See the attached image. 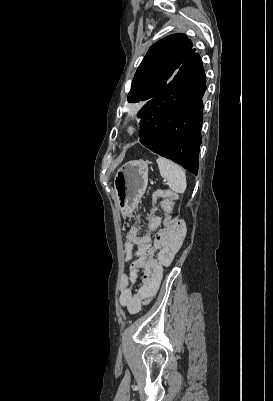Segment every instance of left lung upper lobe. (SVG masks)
I'll use <instances>...</instances> for the list:
<instances>
[{"label": "left lung upper lobe", "instance_id": "left-lung-upper-lobe-1", "mask_svg": "<svg viewBox=\"0 0 273 401\" xmlns=\"http://www.w3.org/2000/svg\"><path fill=\"white\" fill-rule=\"evenodd\" d=\"M192 50L185 34H173L153 44L139 65L128 93V102L149 101L172 79Z\"/></svg>", "mask_w": 273, "mask_h": 401}]
</instances>
